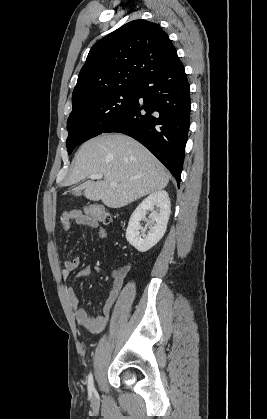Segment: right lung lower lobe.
Wrapping results in <instances>:
<instances>
[{
  "label": "right lung lower lobe",
  "instance_id": "right-lung-lower-lobe-1",
  "mask_svg": "<svg viewBox=\"0 0 267 419\" xmlns=\"http://www.w3.org/2000/svg\"><path fill=\"white\" fill-rule=\"evenodd\" d=\"M189 89L179 60L148 76L127 112L104 131L138 140L170 170L178 185L190 125Z\"/></svg>",
  "mask_w": 267,
  "mask_h": 419
}]
</instances>
